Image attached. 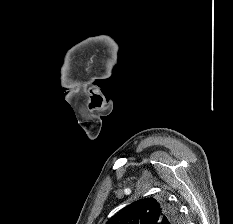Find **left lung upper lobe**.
Masks as SVG:
<instances>
[{"label":"left lung upper lobe","instance_id":"5c2ea615","mask_svg":"<svg viewBox=\"0 0 233 224\" xmlns=\"http://www.w3.org/2000/svg\"><path fill=\"white\" fill-rule=\"evenodd\" d=\"M176 209L166 200L153 197L140 199L126 206L106 224H178Z\"/></svg>","mask_w":233,"mask_h":224}]
</instances>
